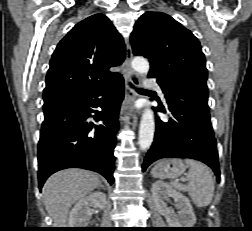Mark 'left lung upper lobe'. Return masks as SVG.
<instances>
[{
	"instance_id": "left-lung-upper-lobe-1",
	"label": "left lung upper lobe",
	"mask_w": 252,
	"mask_h": 231,
	"mask_svg": "<svg viewBox=\"0 0 252 231\" xmlns=\"http://www.w3.org/2000/svg\"><path fill=\"white\" fill-rule=\"evenodd\" d=\"M130 40L133 54L149 59V77L186 79L207 87L205 56L198 39L171 16L144 13Z\"/></svg>"
}]
</instances>
